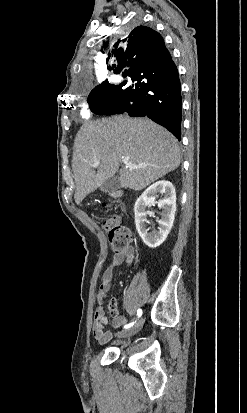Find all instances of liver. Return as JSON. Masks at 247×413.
<instances>
[{"label": "liver", "mask_w": 247, "mask_h": 413, "mask_svg": "<svg viewBox=\"0 0 247 413\" xmlns=\"http://www.w3.org/2000/svg\"><path fill=\"white\" fill-rule=\"evenodd\" d=\"M128 158L129 164L122 160ZM100 160L98 170L93 162ZM180 164L175 136L149 118L115 114L108 118L83 120L73 150L72 168L76 182V204L101 186L120 168V186L142 190Z\"/></svg>", "instance_id": "obj_1"}]
</instances>
